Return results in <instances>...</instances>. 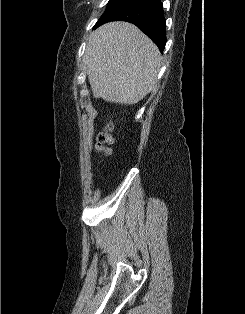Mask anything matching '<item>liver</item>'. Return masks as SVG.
Wrapping results in <instances>:
<instances>
[{
    "label": "liver",
    "instance_id": "6515ba94",
    "mask_svg": "<svg viewBox=\"0 0 245 314\" xmlns=\"http://www.w3.org/2000/svg\"><path fill=\"white\" fill-rule=\"evenodd\" d=\"M84 60L94 98L132 105L156 88L162 57L135 25L111 22L91 33Z\"/></svg>",
    "mask_w": 245,
    "mask_h": 314
}]
</instances>
